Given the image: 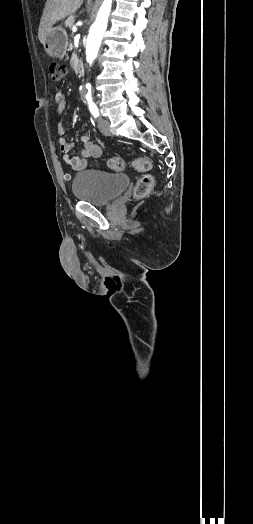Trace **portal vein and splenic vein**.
I'll return each instance as SVG.
<instances>
[{
	"instance_id": "portal-vein-and-splenic-vein-1",
	"label": "portal vein and splenic vein",
	"mask_w": 253,
	"mask_h": 524,
	"mask_svg": "<svg viewBox=\"0 0 253 524\" xmlns=\"http://www.w3.org/2000/svg\"><path fill=\"white\" fill-rule=\"evenodd\" d=\"M72 30H73V31H77V27H76V26H73Z\"/></svg>"
}]
</instances>
